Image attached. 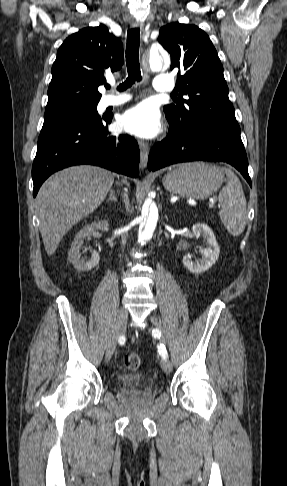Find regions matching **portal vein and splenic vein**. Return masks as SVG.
Returning <instances> with one entry per match:
<instances>
[{
    "label": "portal vein and splenic vein",
    "instance_id": "obj_1",
    "mask_svg": "<svg viewBox=\"0 0 287 486\" xmlns=\"http://www.w3.org/2000/svg\"><path fill=\"white\" fill-rule=\"evenodd\" d=\"M214 205H215L214 200H211V204H210V206H214Z\"/></svg>",
    "mask_w": 287,
    "mask_h": 486
}]
</instances>
